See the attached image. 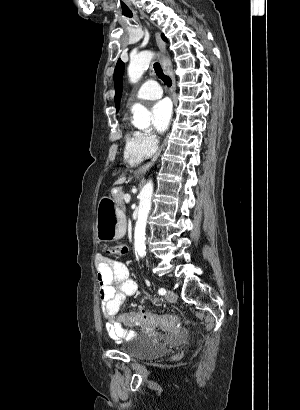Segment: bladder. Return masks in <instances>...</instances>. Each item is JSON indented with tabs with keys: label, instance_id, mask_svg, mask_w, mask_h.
Wrapping results in <instances>:
<instances>
[{
	"label": "bladder",
	"instance_id": "bladder-1",
	"mask_svg": "<svg viewBox=\"0 0 300 410\" xmlns=\"http://www.w3.org/2000/svg\"><path fill=\"white\" fill-rule=\"evenodd\" d=\"M166 349V345L162 342L147 340L133 342L127 346L126 351L131 358L143 360L164 353Z\"/></svg>",
	"mask_w": 300,
	"mask_h": 410
}]
</instances>
